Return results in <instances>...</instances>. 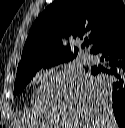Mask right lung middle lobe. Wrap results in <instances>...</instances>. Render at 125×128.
Masks as SVG:
<instances>
[{
	"instance_id": "1",
	"label": "right lung middle lobe",
	"mask_w": 125,
	"mask_h": 128,
	"mask_svg": "<svg viewBox=\"0 0 125 128\" xmlns=\"http://www.w3.org/2000/svg\"><path fill=\"white\" fill-rule=\"evenodd\" d=\"M70 60L72 59L53 58V59L34 63L25 69L18 70L17 75H16V80H15V85H14V96H16L26 87V85L31 81V79L36 74V72L40 70L41 68H44V69L51 68L61 63L68 62ZM97 79L105 82L106 76L103 74H100L97 76Z\"/></svg>"
}]
</instances>
